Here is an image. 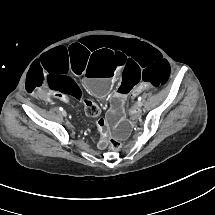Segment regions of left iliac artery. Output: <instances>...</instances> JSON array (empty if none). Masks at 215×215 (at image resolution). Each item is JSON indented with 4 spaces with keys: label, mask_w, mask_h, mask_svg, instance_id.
Instances as JSON below:
<instances>
[{
    "label": "left iliac artery",
    "mask_w": 215,
    "mask_h": 215,
    "mask_svg": "<svg viewBox=\"0 0 215 215\" xmlns=\"http://www.w3.org/2000/svg\"><path fill=\"white\" fill-rule=\"evenodd\" d=\"M138 103L142 106V97L138 98Z\"/></svg>",
    "instance_id": "44dca946"
}]
</instances>
